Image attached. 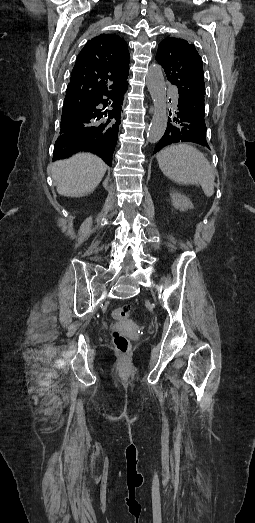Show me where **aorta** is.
<instances>
[{
  "mask_svg": "<svg viewBox=\"0 0 255 523\" xmlns=\"http://www.w3.org/2000/svg\"><path fill=\"white\" fill-rule=\"evenodd\" d=\"M146 84L154 104V114L147 132L150 143L158 142L167 127L166 85L162 67L152 64L146 75Z\"/></svg>",
  "mask_w": 255,
  "mask_h": 523,
  "instance_id": "1",
  "label": "aorta"
}]
</instances>
